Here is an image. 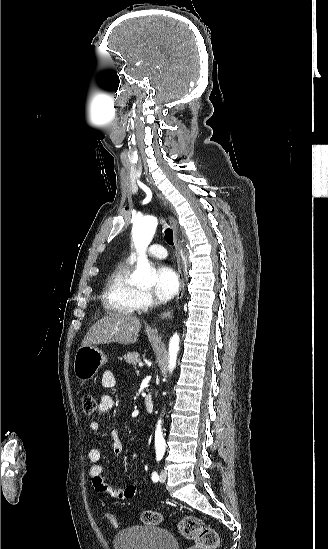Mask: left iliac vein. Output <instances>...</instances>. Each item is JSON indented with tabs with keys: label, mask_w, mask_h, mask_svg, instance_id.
Here are the masks:
<instances>
[{
	"label": "left iliac vein",
	"mask_w": 328,
	"mask_h": 549,
	"mask_svg": "<svg viewBox=\"0 0 328 549\" xmlns=\"http://www.w3.org/2000/svg\"><path fill=\"white\" fill-rule=\"evenodd\" d=\"M166 478H167V473H166V471H165V470H161V472H160V481H161V482H164V481L166 480Z\"/></svg>",
	"instance_id": "1"
}]
</instances>
